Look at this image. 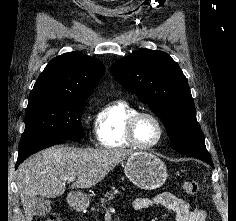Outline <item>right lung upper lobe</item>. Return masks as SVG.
Segmentation results:
<instances>
[{"mask_svg": "<svg viewBox=\"0 0 236 221\" xmlns=\"http://www.w3.org/2000/svg\"><path fill=\"white\" fill-rule=\"evenodd\" d=\"M105 67L93 57L68 52L53 58L38 77L30 97L88 98Z\"/></svg>", "mask_w": 236, "mask_h": 221, "instance_id": "right-lung-upper-lobe-1", "label": "right lung upper lobe"}]
</instances>
